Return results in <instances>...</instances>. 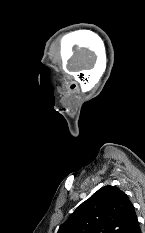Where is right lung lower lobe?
Wrapping results in <instances>:
<instances>
[{"label":"right lung lower lobe","mask_w":145,"mask_h":233,"mask_svg":"<svg viewBox=\"0 0 145 233\" xmlns=\"http://www.w3.org/2000/svg\"><path fill=\"white\" fill-rule=\"evenodd\" d=\"M130 233H141L139 222L137 221Z\"/></svg>","instance_id":"1"}]
</instances>
